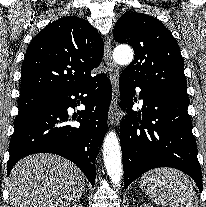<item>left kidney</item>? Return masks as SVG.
<instances>
[{"label": "left kidney", "instance_id": "obj_1", "mask_svg": "<svg viewBox=\"0 0 206 207\" xmlns=\"http://www.w3.org/2000/svg\"><path fill=\"white\" fill-rule=\"evenodd\" d=\"M140 207H153V206L145 203V204H142Z\"/></svg>", "mask_w": 206, "mask_h": 207}]
</instances>
